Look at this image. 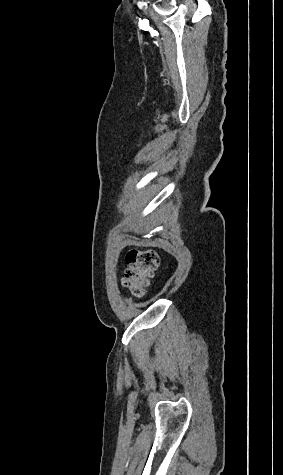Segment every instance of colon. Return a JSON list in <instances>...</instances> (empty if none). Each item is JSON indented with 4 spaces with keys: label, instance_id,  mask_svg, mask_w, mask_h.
I'll return each mask as SVG.
<instances>
[{
    "label": "colon",
    "instance_id": "obj_1",
    "mask_svg": "<svg viewBox=\"0 0 283 475\" xmlns=\"http://www.w3.org/2000/svg\"><path fill=\"white\" fill-rule=\"evenodd\" d=\"M127 260L131 266L124 272L121 283L133 297L139 298L158 269L159 257L154 249L142 248L130 251Z\"/></svg>",
    "mask_w": 283,
    "mask_h": 475
}]
</instances>
